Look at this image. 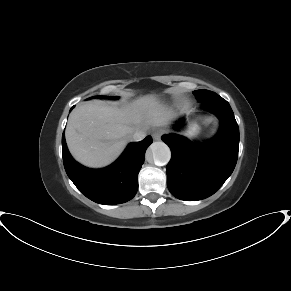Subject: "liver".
Segmentation results:
<instances>
[{
    "label": "liver",
    "mask_w": 291,
    "mask_h": 291,
    "mask_svg": "<svg viewBox=\"0 0 291 291\" xmlns=\"http://www.w3.org/2000/svg\"><path fill=\"white\" fill-rule=\"evenodd\" d=\"M174 116L155 95L139 97L120 107L88 102L71 113L66 142L78 162L104 167L121 154L135 131L166 125Z\"/></svg>",
    "instance_id": "liver-1"
}]
</instances>
